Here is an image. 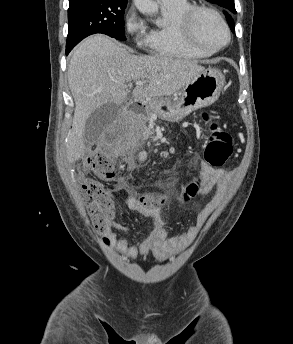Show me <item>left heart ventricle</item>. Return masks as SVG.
Instances as JSON below:
<instances>
[{
	"instance_id": "b2bd125f",
	"label": "left heart ventricle",
	"mask_w": 293,
	"mask_h": 344,
	"mask_svg": "<svg viewBox=\"0 0 293 344\" xmlns=\"http://www.w3.org/2000/svg\"><path fill=\"white\" fill-rule=\"evenodd\" d=\"M194 35L203 46L213 49L226 41V32L221 23L211 14L202 12L194 22Z\"/></svg>"
}]
</instances>
